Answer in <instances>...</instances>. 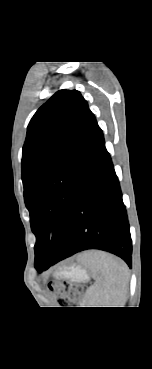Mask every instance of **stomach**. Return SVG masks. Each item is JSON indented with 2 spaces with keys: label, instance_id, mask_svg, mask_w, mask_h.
<instances>
[{
  "label": "stomach",
  "instance_id": "obj_1",
  "mask_svg": "<svg viewBox=\"0 0 152 369\" xmlns=\"http://www.w3.org/2000/svg\"><path fill=\"white\" fill-rule=\"evenodd\" d=\"M66 276L75 282L86 281L88 279L86 271L80 267H71L69 271L66 273Z\"/></svg>",
  "mask_w": 152,
  "mask_h": 369
}]
</instances>
